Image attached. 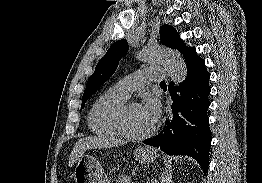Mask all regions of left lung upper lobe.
I'll use <instances>...</instances> for the list:
<instances>
[{"label": "left lung upper lobe", "instance_id": "5c2ea615", "mask_svg": "<svg viewBox=\"0 0 262 183\" xmlns=\"http://www.w3.org/2000/svg\"><path fill=\"white\" fill-rule=\"evenodd\" d=\"M160 40L165 46L179 50L185 58L195 51V48H189L184 45L177 31L170 25H162L160 27ZM127 51L128 44L126 40H119L110 46L104 57L96 65L94 73L88 80L82 98L81 109L84 108L88 98L115 72L119 60Z\"/></svg>", "mask_w": 262, "mask_h": 183}]
</instances>
